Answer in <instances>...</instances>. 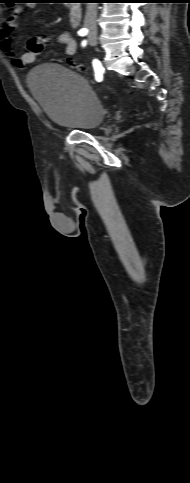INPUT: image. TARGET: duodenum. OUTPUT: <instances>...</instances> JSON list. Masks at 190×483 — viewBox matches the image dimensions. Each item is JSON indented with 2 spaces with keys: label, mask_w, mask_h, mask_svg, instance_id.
Masks as SVG:
<instances>
[{
  "label": "duodenum",
  "mask_w": 190,
  "mask_h": 483,
  "mask_svg": "<svg viewBox=\"0 0 190 483\" xmlns=\"http://www.w3.org/2000/svg\"><path fill=\"white\" fill-rule=\"evenodd\" d=\"M68 15H69L70 25L72 27L79 26V24L81 22V17H82L80 7L79 6H73V7H71L69 9V11H68Z\"/></svg>",
  "instance_id": "410a0bca"
}]
</instances>
